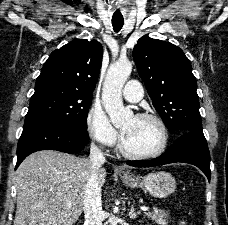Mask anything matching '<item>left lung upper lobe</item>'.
Returning <instances> with one entry per match:
<instances>
[{
  "instance_id": "obj_1",
  "label": "left lung upper lobe",
  "mask_w": 228,
  "mask_h": 225,
  "mask_svg": "<svg viewBox=\"0 0 228 225\" xmlns=\"http://www.w3.org/2000/svg\"><path fill=\"white\" fill-rule=\"evenodd\" d=\"M138 73L170 133L203 132L197 82L189 59L177 46L141 37L133 49Z\"/></svg>"
}]
</instances>
